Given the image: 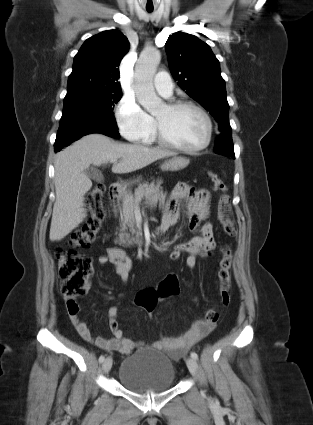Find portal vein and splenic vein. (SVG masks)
<instances>
[{
	"label": "portal vein and splenic vein",
	"mask_w": 313,
	"mask_h": 425,
	"mask_svg": "<svg viewBox=\"0 0 313 425\" xmlns=\"http://www.w3.org/2000/svg\"><path fill=\"white\" fill-rule=\"evenodd\" d=\"M110 162H111V163H116V162H117V160H111Z\"/></svg>",
	"instance_id": "18ae733b"
}]
</instances>
